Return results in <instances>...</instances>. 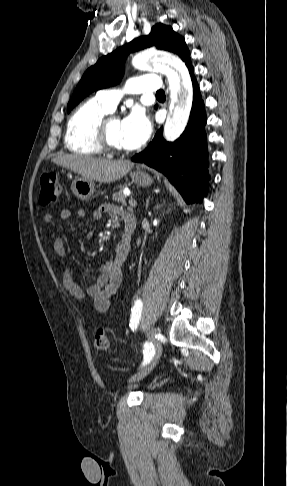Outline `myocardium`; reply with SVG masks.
Returning a JSON list of instances; mask_svg holds the SVG:
<instances>
[{"instance_id":"myocardium-1","label":"myocardium","mask_w":287,"mask_h":486,"mask_svg":"<svg viewBox=\"0 0 287 486\" xmlns=\"http://www.w3.org/2000/svg\"><path fill=\"white\" fill-rule=\"evenodd\" d=\"M116 118L114 116L104 117L97 126L96 129V142L103 152L112 154H121L127 152L126 149L119 148L111 143L108 135V124L111 119Z\"/></svg>"}]
</instances>
